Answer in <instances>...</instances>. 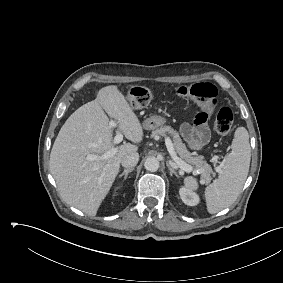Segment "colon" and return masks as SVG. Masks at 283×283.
Masks as SVG:
<instances>
[{
    "instance_id": "colon-1",
    "label": "colon",
    "mask_w": 283,
    "mask_h": 283,
    "mask_svg": "<svg viewBox=\"0 0 283 283\" xmlns=\"http://www.w3.org/2000/svg\"><path fill=\"white\" fill-rule=\"evenodd\" d=\"M177 93L188 96L202 104L207 110L213 109L217 104V89L209 82H198L189 86H181ZM128 102L134 109L147 107L152 100V91L145 86H135L128 94ZM233 125V112L228 107L218 110L214 122V129L219 135H227Z\"/></svg>"
}]
</instances>
